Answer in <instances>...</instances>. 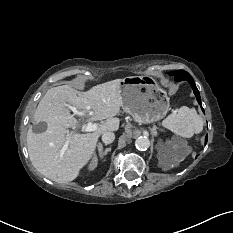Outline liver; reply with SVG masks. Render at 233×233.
<instances>
[{
  "mask_svg": "<svg viewBox=\"0 0 233 233\" xmlns=\"http://www.w3.org/2000/svg\"><path fill=\"white\" fill-rule=\"evenodd\" d=\"M120 83L121 79H115L86 92L69 85L48 89L34 113V122H45L47 128L41 133L33 132L32 128L27 132L29 158L38 172L61 184L77 178L94 154L100 135L119 128L120 120L115 116L122 106ZM69 107L84 112L86 120L105 121L92 133L69 137L67 129L78 125ZM67 140L68 147L63 150Z\"/></svg>",
  "mask_w": 233,
  "mask_h": 233,
  "instance_id": "6515ba94",
  "label": "liver"
}]
</instances>
